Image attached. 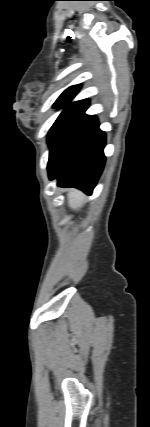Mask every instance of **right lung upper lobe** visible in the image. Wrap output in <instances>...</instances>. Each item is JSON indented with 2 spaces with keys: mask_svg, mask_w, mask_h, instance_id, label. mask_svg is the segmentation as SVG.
I'll return each mask as SVG.
<instances>
[{
  "mask_svg": "<svg viewBox=\"0 0 150 427\" xmlns=\"http://www.w3.org/2000/svg\"><path fill=\"white\" fill-rule=\"evenodd\" d=\"M81 88L80 85L71 86L68 89H66L56 100L54 103V107L61 108L64 106H67L65 109H73V110H79L84 111L89 106L88 99L77 101L70 104V101L75 97V95L78 93L79 89Z\"/></svg>",
  "mask_w": 150,
  "mask_h": 427,
  "instance_id": "right-lung-upper-lobe-1",
  "label": "right lung upper lobe"
}]
</instances>
